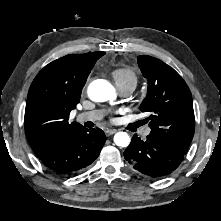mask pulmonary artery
<instances>
[{"instance_id": "obj_1", "label": "pulmonary artery", "mask_w": 221, "mask_h": 221, "mask_svg": "<svg viewBox=\"0 0 221 221\" xmlns=\"http://www.w3.org/2000/svg\"><path fill=\"white\" fill-rule=\"evenodd\" d=\"M120 94L122 96H128L132 93V89L129 88H121L119 89ZM104 116V112L102 110H93L88 112H83L77 115L76 120L80 123L84 122H95L100 120ZM150 132L149 128L145 129V135H147Z\"/></svg>"}]
</instances>
